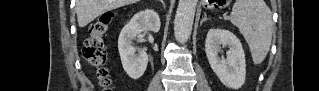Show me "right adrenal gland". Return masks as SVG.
<instances>
[{
  "label": "right adrenal gland",
  "instance_id": "right-adrenal-gland-1",
  "mask_svg": "<svg viewBox=\"0 0 319 91\" xmlns=\"http://www.w3.org/2000/svg\"><path fill=\"white\" fill-rule=\"evenodd\" d=\"M159 2L162 3V5L165 7L164 1L163 0H159Z\"/></svg>",
  "mask_w": 319,
  "mask_h": 91
}]
</instances>
